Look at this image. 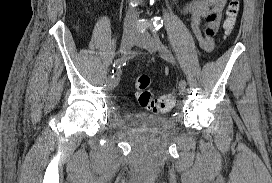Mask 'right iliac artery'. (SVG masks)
I'll return each instance as SVG.
<instances>
[{"label":"right iliac artery","mask_w":272,"mask_h":183,"mask_svg":"<svg viewBox=\"0 0 272 183\" xmlns=\"http://www.w3.org/2000/svg\"><path fill=\"white\" fill-rule=\"evenodd\" d=\"M129 59V57H121L119 59H117L115 62H114V65L113 67L116 69V68H120L121 66H124L126 64V61ZM114 68H109L108 69V72H109V78L111 81H116L117 78H119V71L118 70H115ZM124 71V70H123Z\"/></svg>","instance_id":"82829eb1"}]
</instances>
